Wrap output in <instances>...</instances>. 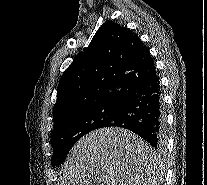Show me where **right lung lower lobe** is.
<instances>
[{"label": "right lung lower lobe", "mask_w": 207, "mask_h": 185, "mask_svg": "<svg viewBox=\"0 0 207 185\" xmlns=\"http://www.w3.org/2000/svg\"><path fill=\"white\" fill-rule=\"evenodd\" d=\"M117 118L105 127H123L141 136L155 149H163L165 115L159 77L132 87L120 101Z\"/></svg>", "instance_id": "right-lung-lower-lobe-1"}]
</instances>
